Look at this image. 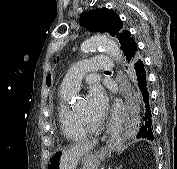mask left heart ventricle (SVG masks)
I'll use <instances>...</instances> for the list:
<instances>
[{
    "label": "left heart ventricle",
    "instance_id": "b2bd125f",
    "mask_svg": "<svg viewBox=\"0 0 177 169\" xmlns=\"http://www.w3.org/2000/svg\"><path fill=\"white\" fill-rule=\"evenodd\" d=\"M74 108L80 115L91 123L99 122L103 116V113L92 108L86 96L80 97Z\"/></svg>",
    "mask_w": 177,
    "mask_h": 169
}]
</instances>
